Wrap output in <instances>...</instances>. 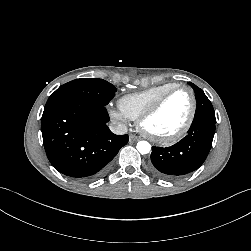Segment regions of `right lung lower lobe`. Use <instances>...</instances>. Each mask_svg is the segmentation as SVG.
I'll return each instance as SVG.
<instances>
[{"mask_svg": "<svg viewBox=\"0 0 251 251\" xmlns=\"http://www.w3.org/2000/svg\"><path fill=\"white\" fill-rule=\"evenodd\" d=\"M108 121L105 106L97 102L62 99L45 105L41 129L50 163L80 181L103 175L128 142V135L109 130Z\"/></svg>", "mask_w": 251, "mask_h": 251, "instance_id": "1", "label": "right lung lower lobe"}]
</instances>
